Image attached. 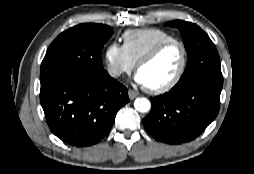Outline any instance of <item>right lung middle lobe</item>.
Wrapping results in <instances>:
<instances>
[{"mask_svg":"<svg viewBox=\"0 0 254 174\" xmlns=\"http://www.w3.org/2000/svg\"><path fill=\"white\" fill-rule=\"evenodd\" d=\"M113 30L103 24H80L61 33L49 46L40 68L41 88L99 75L105 70L103 45Z\"/></svg>","mask_w":254,"mask_h":174,"instance_id":"1","label":"right lung middle lobe"}]
</instances>
